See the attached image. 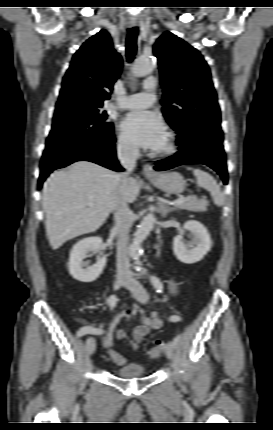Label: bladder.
<instances>
[{"label": "bladder", "mask_w": 273, "mask_h": 430, "mask_svg": "<svg viewBox=\"0 0 273 430\" xmlns=\"http://www.w3.org/2000/svg\"><path fill=\"white\" fill-rule=\"evenodd\" d=\"M118 377L124 379H133L144 376L145 368L141 364L138 363H129L119 368L116 371Z\"/></svg>", "instance_id": "obj_1"}]
</instances>
